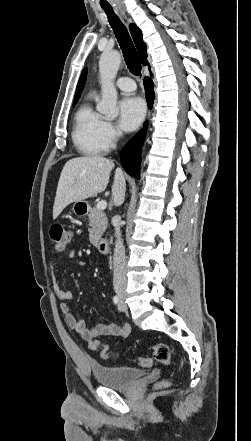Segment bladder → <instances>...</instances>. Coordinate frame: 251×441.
I'll return each instance as SVG.
<instances>
[{"label": "bladder", "mask_w": 251, "mask_h": 441, "mask_svg": "<svg viewBox=\"0 0 251 441\" xmlns=\"http://www.w3.org/2000/svg\"><path fill=\"white\" fill-rule=\"evenodd\" d=\"M91 370L98 383L113 389H125L140 380L145 372L139 368L128 366H105L92 364Z\"/></svg>", "instance_id": "bladder-1"}]
</instances>
